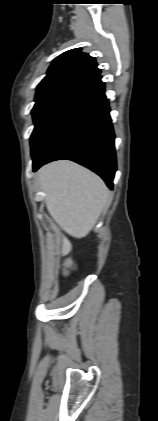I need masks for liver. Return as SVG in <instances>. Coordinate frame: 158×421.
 Instances as JSON below:
<instances>
[{
	"label": "liver",
	"mask_w": 158,
	"mask_h": 421,
	"mask_svg": "<svg viewBox=\"0 0 158 421\" xmlns=\"http://www.w3.org/2000/svg\"><path fill=\"white\" fill-rule=\"evenodd\" d=\"M38 180L46 194V207L55 222L75 238L85 237L94 227L110 193L103 180L86 168L62 160L43 166ZM71 250L63 238L62 255Z\"/></svg>",
	"instance_id": "6515ba94"
}]
</instances>
